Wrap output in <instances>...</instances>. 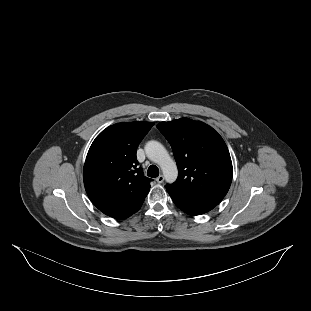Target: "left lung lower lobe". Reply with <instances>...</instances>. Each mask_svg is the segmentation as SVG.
<instances>
[{
    "instance_id": "1",
    "label": "left lung lower lobe",
    "mask_w": 311,
    "mask_h": 311,
    "mask_svg": "<svg viewBox=\"0 0 311 311\" xmlns=\"http://www.w3.org/2000/svg\"><path fill=\"white\" fill-rule=\"evenodd\" d=\"M167 191L169 195L171 196L175 205L189 215L194 216V215L204 214L216 206L211 203H205V202L192 200L184 195H181L179 193H176L170 190H167Z\"/></svg>"
}]
</instances>
